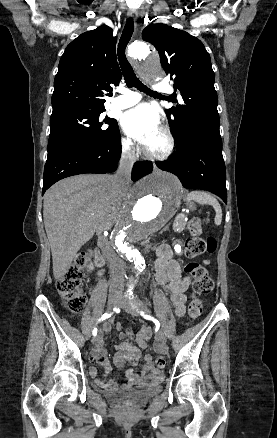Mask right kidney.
Here are the masks:
<instances>
[{
  "instance_id": "1",
  "label": "right kidney",
  "mask_w": 277,
  "mask_h": 438,
  "mask_svg": "<svg viewBox=\"0 0 277 438\" xmlns=\"http://www.w3.org/2000/svg\"><path fill=\"white\" fill-rule=\"evenodd\" d=\"M88 268H89V272H91V270H94L93 264H89Z\"/></svg>"
}]
</instances>
